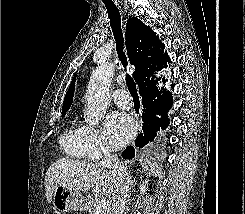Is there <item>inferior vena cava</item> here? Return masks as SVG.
Returning <instances> with one entry per match:
<instances>
[{"mask_svg": "<svg viewBox=\"0 0 245 214\" xmlns=\"http://www.w3.org/2000/svg\"><path fill=\"white\" fill-rule=\"evenodd\" d=\"M103 159L100 165L112 170L116 175V182L112 192V214H126V203L130 184L127 166L118 160L116 154H110L108 149H103Z\"/></svg>", "mask_w": 245, "mask_h": 214, "instance_id": "1", "label": "inferior vena cava"}]
</instances>
